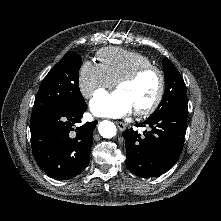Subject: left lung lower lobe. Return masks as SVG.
<instances>
[{"mask_svg":"<svg viewBox=\"0 0 221 221\" xmlns=\"http://www.w3.org/2000/svg\"><path fill=\"white\" fill-rule=\"evenodd\" d=\"M187 115V104H181L137 124V127H150L143 136L132 128L126 129L127 169L146 178L161 175L173 167L183 149Z\"/></svg>","mask_w":221,"mask_h":221,"instance_id":"0a47b994","label":"left lung lower lobe"}]
</instances>
